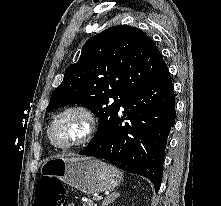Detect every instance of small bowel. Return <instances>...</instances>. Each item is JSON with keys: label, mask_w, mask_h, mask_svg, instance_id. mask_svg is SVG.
<instances>
[{"label": "small bowel", "mask_w": 221, "mask_h": 206, "mask_svg": "<svg viewBox=\"0 0 221 206\" xmlns=\"http://www.w3.org/2000/svg\"><path fill=\"white\" fill-rule=\"evenodd\" d=\"M67 206H75L73 203H68Z\"/></svg>", "instance_id": "c3829d8e"}]
</instances>
